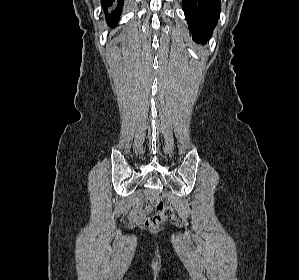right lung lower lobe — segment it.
<instances>
[{"instance_id": "right-lung-lower-lobe-1", "label": "right lung lower lobe", "mask_w": 299, "mask_h": 280, "mask_svg": "<svg viewBox=\"0 0 299 280\" xmlns=\"http://www.w3.org/2000/svg\"><path fill=\"white\" fill-rule=\"evenodd\" d=\"M117 1H118V5H117L116 9L114 11H112L110 14H108L107 13L108 6H111L113 4L114 0H102V5L106 12V18L111 25L115 24L116 18L120 14L124 0H117Z\"/></svg>"}]
</instances>
